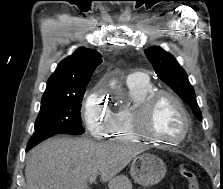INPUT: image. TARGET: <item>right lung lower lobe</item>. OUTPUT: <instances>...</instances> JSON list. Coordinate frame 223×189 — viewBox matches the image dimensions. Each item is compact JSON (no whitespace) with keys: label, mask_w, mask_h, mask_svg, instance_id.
I'll use <instances>...</instances> for the list:
<instances>
[{"label":"right lung lower lobe","mask_w":223,"mask_h":189,"mask_svg":"<svg viewBox=\"0 0 223 189\" xmlns=\"http://www.w3.org/2000/svg\"><path fill=\"white\" fill-rule=\"evenodd\" d=\"M56 135V133H51V134H44V135H39V136H33L30 138L26 151H29L32 147L36 146L38 143L42 142L43 140Z\"/></svg>","instance_id":"98d812e1"}]
</instances>
